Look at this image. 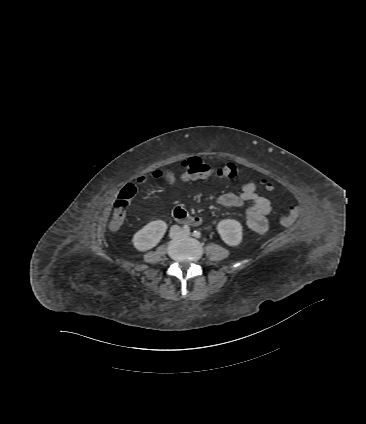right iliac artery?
Returning a JSON list of instances; mask_svg holds the SVG:
<instances>
[{"label": "right iliac artery", "instance_id": "obj_1", "mask_svg": "<svg viewBox=\"0 0 366 424\" xmlns=\"http://www.w3.org/2000/svg\"><path fill=\"white\" fill-rule=\"evenodd\" d=\"M183 231L184 232H189L190 231L189 226H187V225L183 226Z\"/></svg>", "mask_w": 366, "mask_h": 424}]
</instances>
